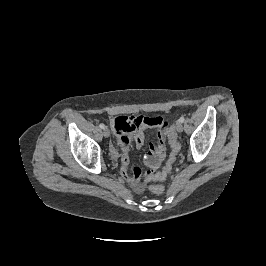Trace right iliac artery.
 <instances>
[{"label":"right iliac artery","mask_w":266,"mask_h":266,"mask_svg":"<svg viewBox=\"0 0 266 266\" xmlns=\"http://www.w3.org/2000/svg\"><path fill=\"white\" fill-rule=\"evenodd\" d=\"M99 127H100L101 129H104V128H105V125H104L103 123H101V124L99 125Z\"/></svg>","instance_id":"right-iliac-artery-1"}]
</instances>
